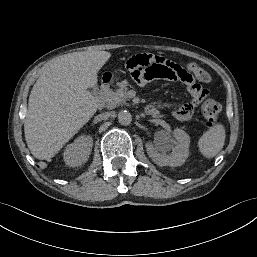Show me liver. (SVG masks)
<instances>
[{"label": "liver", "instance_id": "1", "mask_svg": "<svg viewBox=\"0 0 257 257\" xmlns=\"http://www.w3.org/2000/svg\"><path fill=\"white\" fill-rule=\"evenodd\" d=\"M107 51L63 55L42 71L28 101L24 134L32 155L49 160L91 119L99 100L88 88L97 86Z\"/></svg>", "mask_w": 257, "mask_h": 257}]
</instances>
